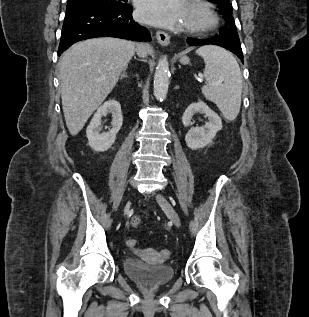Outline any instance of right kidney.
Returning a JSON list of instances; mask_svg holds the SVG:
<instances>
[{
  "mask_svg": "<svg viewBox=\"0 0 309 317\" xmlns=\"http://www.w3.org/2000/svg\"><path fill=\"white\" fill-rule=\"evenodd\" d=\"M108 113L112 114L111 125L109 132H102L101 118ZM123 124L121 106L116 100L106 101L98 108L94 114L89 126L86 130L89 146L98 152H104L111 148L116 139V134L119 132Z\"/></svg>",
  "mask_w": 309,
  "mask_h": 317,
  "instance_id": "right-kidney-1",
  "label": "right kidney"
}]
</instances>
